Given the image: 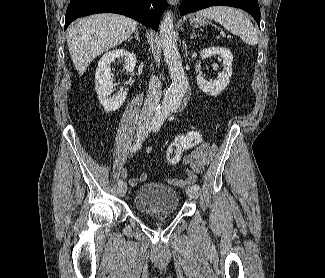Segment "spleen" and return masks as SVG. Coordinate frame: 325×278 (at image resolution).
I'll return each mask as SVG.
<instances>
[{
  "label": "spleen",
  "mask_w": 325,
  "mask_h": 278,
  "mask_svg": "<svg viewBox=\"0 0 325 278\" xmlns=\"http://www.w3.org/2000/svg\"><path fill=\"white\" fill-rule=\"evenodd\" d=\"M197 16L207 17L220 23L242 41L254 46L258 43V33L251 21L238 9L228 6H213L197 12Z\"/></svg>",
  "instance_id": "obj_1"
}]
</instances>
